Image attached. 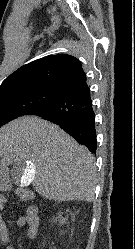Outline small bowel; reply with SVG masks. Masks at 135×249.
<instances>
[{"label": "small bowel", "instance_id": "small-bowel-1", "mask_svg": "<svg viewBox=\"0 0 135 249\" xmlns=\"http://www.w3.org/2000/svg\"><path fill=\"white\" fill-rule=\"evenodd\" d=\"M7 200L4 196L0 195V211L5 208ZM17 226L26 227V236L28 238H36L39 226L38 209L36 206L29 205L25 207L24 216L18 218ZM0 241L5 249H12L8 244V232L6 225L0 214Z\"/></svg>", "mask_w": 135, "mask_h": 249}]
</instances>
